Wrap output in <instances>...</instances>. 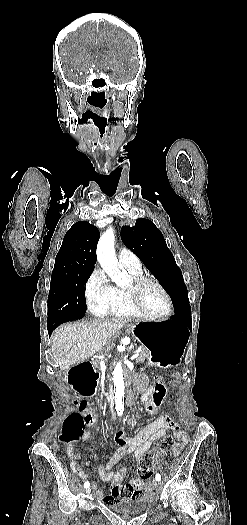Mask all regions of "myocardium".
I'll use <instances>...</instances> for the list:
<instances>
[{
  "instance_id": "f54148a6",
  "label": "myocardium",
  "mask_w": 247,
  "mask_h": 525,
  "mask_svg": "<svg viewBox=\"0 0 247 525\" xmlns=\"http://www.w3.org/2000/svg\"><path fill=\"white\" fill-rule=\"evenodd\" d=\"M147 281L156 284L160 288V290L163 292V294L165 295L166 307L164 309H162L161 311H159V312L149 311L143 305V303H142V301L140 299V296H139L140 288ZM126 288L130 292L132 297L135 299V307L137 308V310L140 313H143L144 315H146L147 317H154V319H159V318H163L164 316L168 315L171 312V310H172V298H171L169 292L167 291V289L165 288V286L157 278L151 277V276H146V275H142L139 278H130L128 280Z\"/></svg>"
}]
</instances>
